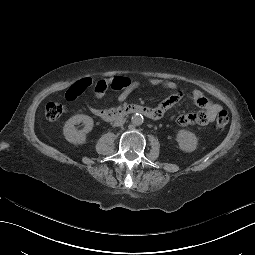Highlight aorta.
<instances>
[{
    "mask_svg": "<svg viewBox=\"0 0 255 255\" xmlns=\"http://www.w3.org/2000/svg\"><path fill=\"white\" fill-rule=\"evenodd\" d=\"M143 120H144L143 116L139 113L133 114L132 117H131V122L135 126L142 125Z\"/></svg>",
    "mask_w": 255,
    "mask_h": 255,
    "instance_id": "762f6f07",
    "label": "aorta"
}]
</instances>
